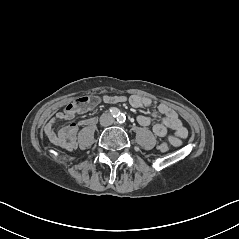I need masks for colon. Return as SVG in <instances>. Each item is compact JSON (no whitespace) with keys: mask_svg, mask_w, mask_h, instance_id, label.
Wrapping results in <instances>:
<instances>
[{"mask_svg":"<svg viewBox=\"0 0 239 239\" xmlns=\"http://www.w3.org/2000/svg\"><path fill=\"white\" fill-rule=\"evenodd\" d=\"M91 99L89 97H82L77 102H75L76 106L78 108L86 107L88 104H90ZM159 149L162 152H167L169 150V145L166 142H163L159 145Z\"/></svg>","mask_w":239,"mask_h":239,"instance_id":"colon-1","label":"colon"}]
</instances>
